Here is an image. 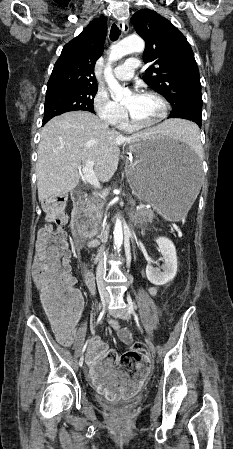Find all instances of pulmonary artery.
Returning <instances> with one entry per match:
<instances>
[{"instance_id": "e3ab8cb5", "label": "pulmonary artery", "mask_w": 233, "mask_h": 449, "mask_svg": "<svg viewBox=\"0 0 233 449\" xmlns=\"http://www.w3.org/2000/svg\"><path fill=\"white\" fill-rule=\"evenodd\" d=\"M138 67L139 61L135 58H130L114 69V75L118 80L121 81L130 80Z\"/></svg>"}]
</instances>
